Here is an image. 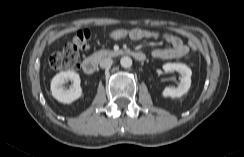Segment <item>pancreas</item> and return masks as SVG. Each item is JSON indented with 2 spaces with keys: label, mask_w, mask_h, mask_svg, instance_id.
Listing matches in <instances>:
<instances>
[{
  "label": "pancreas",
  "mask_w": 244,
  "mask_h": 157,
  "mask_svg": "<svg viewBox=\"0 0 244 157\" xmlns=\"http://www.w3.org/2000/svg\"><path fill=\"white\" fill-rule=\"evenodd\" d=\"M118 53L111 51V50H100L92 54V57L96 58L97 60L102 59L103 57H112L116 56Z\"/></svg>",
  "instance_id": "cf45deb5"
}]
</instances>
